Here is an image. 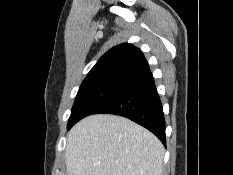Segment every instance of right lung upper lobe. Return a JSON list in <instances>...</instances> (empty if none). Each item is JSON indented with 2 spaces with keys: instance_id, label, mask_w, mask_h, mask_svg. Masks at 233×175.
<instances>
[{
  "instance_id": "right-lung-upper-lobe-1",
  "label": "right lung upper lobe",
  "mask_w": 233,
  "mask_h": 175,
  "mask_svg": "<svg viewBox=\"0 0 233 175\" xmlns=\"http://www.w3.org/2000/svg\"><path fill=\"white\" fill-rule=\"evenodd\" d=\"M150 71L142 51L132 44H120L106 52L90 70L86 79L125 76L132 79Z\"/></svg>"
}]
</instances>
